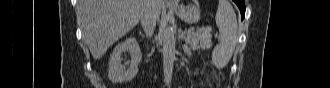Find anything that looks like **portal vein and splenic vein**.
Instances as JSON below:
<instances>
[{"label": "portal vein and splenic vein", "mask_w": 330, "mask_h": 88, "mask_svg": "<svg viewBox=\"0 0 330 88\" xmlns=\"http://www.w3.org/2000/svg\"><path fill=\"white\" fill-rule=\"evenodd\" d=\"M199 32H205V33H209L212 31L211 27H202L200 29H198Z\"/></svg>", "instance_id": "1"}]
</instances>
